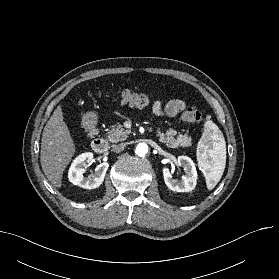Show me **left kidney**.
Here are the masks:
<instances>
[{"label":"left kidney","instance_id":"left-kidney-1","mask_svg":"<svg viewBox=\"0 0 279 279\" xmlns=\"http://www.w3.org/2000/svg\"><path fill=\"white\" fill-rule=\"evenodd\" d=\"M179 166H182L186 172V175L182 177V180L178 181L172 178V174L169 169L163 168V177L167 187L176 192H190L192 191L197 182V171L194 162L187 156H179L177 159Z\"/></svg>","mask_w":279,"mask_h":279}]
</instances>
